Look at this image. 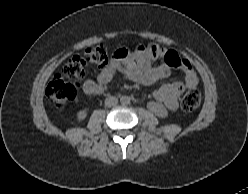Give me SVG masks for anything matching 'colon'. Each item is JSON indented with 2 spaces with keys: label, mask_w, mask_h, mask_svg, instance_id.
Returning <instances> with one entry per match:
<instances>
[{
  "label": "colon",
  "mask_w": 248,
  "mask_h": 194,
  "mask_svg": "<svg viewBox=\"0 0 248 194\" xmlns=\"http://www.w3.org/2000/svg\"><path fill=\"white\" fill-rule=\"evenodd\" d=\"M141 48V46H135L134 50ZM143 48H151V46H144ZM163 59L168 65L176 67L177 54L175 52L166 51ZM108 61V49L105 44H98L88 48L81 55L73 56L48 83L46 88L47 97L57 108H64L75 99L79 88L78 81L90 69L104 67ZM200 102L201 93L199 90L190 89L181 100V108L184 112L191 113L198 108Z\"/></svg>",
  "instance_id": "colon-1"
}]
</instances>
